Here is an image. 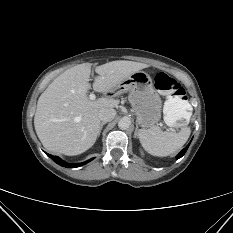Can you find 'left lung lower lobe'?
Segmentation results:
<instances>
[{"mask_svg":"<svg viewBox=\"0 0 233 233\" xmlns=\"http://www.w3.org/2000/svg\"><path fill=\"white\" fill-rule=\"evenodd\" d=\"M190 143L177 155V158H181L185 154V152L187 151Z\"/></svg>","mask_w":233,"mask_h":233,"instance_id":"obj_1","label":"left lung lower lobe"}]
</instances>
